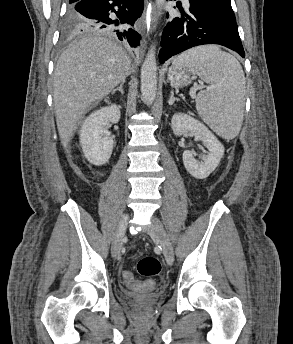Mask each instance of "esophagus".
<instances>
[{"label": "esophagus", "mask_w": 293, "mask_h": 344, "mask_svg": "<svg viewBox=\"0 0 293 344\" xmlns=\"http://www.w3.org/2000/svg\"><path fill=\"white\" fill-rule=\"evenodd\" d=\"M156 12H155V5L153 2H147V6L143 13V20L145 23H151V31H154L156 28Z\"/></svg>", "instance_id": "34e87169"}]
</instances>
